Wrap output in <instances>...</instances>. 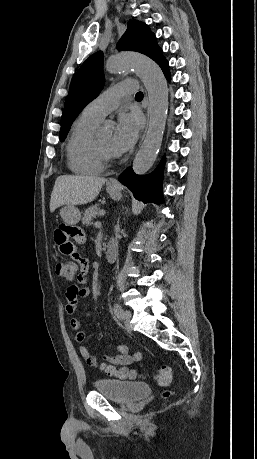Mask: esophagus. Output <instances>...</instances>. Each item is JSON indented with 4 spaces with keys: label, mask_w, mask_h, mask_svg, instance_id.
<instances>
[{
    "label": "esophagus",
    "mask_w": 257,
    "mask_h": 459,
    "mask_svg": "<svg viewBox=\"0 0 257 459\" xmlns=\"http://www.w3.org/2000/svg\"><path fill=\"white\" fill-rule=\"evenodd\" d=\"M144 109L146 111V127H145V130L143 132V135H142V140L145 136V133H146V130H147V127H148V122H149V103H148V98H147V95H145L144 97ZM109 184L110 185H113V186H117L118 185V181L116 179H112L109 181Z\"/></svg>",
    "instance_id": "1"
}]
</instances>
